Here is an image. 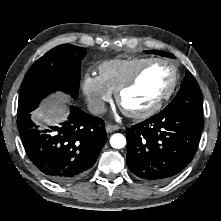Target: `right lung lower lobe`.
<instances>
[{"label": "right lung lower lobe", "mask_w": 221, "mask_h": 221, "mask_svg": "<svg viewBox=\"0 0 221 221\" xmlns=\"http://www.w3.org/2000/svg\"><path fill=\"white\" fill-rule=\"evenodd\" d=\"M26 154L49 180L67 184L84 177L95 164L107 135L104 121L76 106L67 121L39 129L27 113L17 118Z\"/></svg>", "instance_id": "right-lung-lower-lobe-1"}]
</instances>
